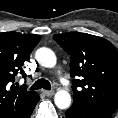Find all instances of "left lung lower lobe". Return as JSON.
I'll use <instances>...</instances> for the list:
<instances>
[{"label": "left lung lower lobe", "instance_id": "left-lung-lower-lobe-1", "mask_svg": "<svg viewBox=\"0 0 118 118\" xmlns=\"http://www.w3.org/2000/svg\"><path fill=\"white\" fill-rule=\"evenodd\" d=\"M113 112L73 104L66 112L67 118H110Z\"/></svg>", "mask_w": 118, "mask_h": 118}]
</instances>
